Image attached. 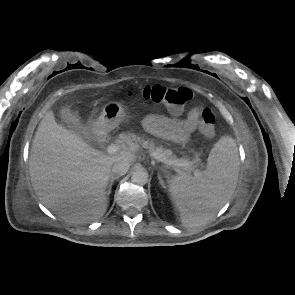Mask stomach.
Returning a JSON list of instances; mask_svg holds the SVG:
<instances>
[{
    "label": "stomach",
    "mask_w": 295,
    "mask_h": 295,
    "mask_svg": "<svg viewBox=\"0 0 295 295\" xmlns=\"http://www.w3.org/2000/svg\"><path fill=\"white\" fill-rule=\"evenodd\" d=\"M126 118V112L121 104H106L98 119L92 123V129L97 133H108L116 128Z\"/></svg>",
    "instance_id": "obj_1"
}]
</instances>
